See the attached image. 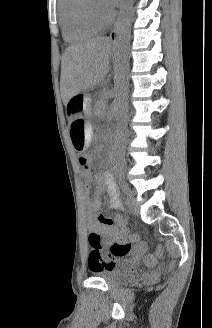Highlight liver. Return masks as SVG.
Listing matches in <instances>:
<instances>
[{
  "label": "liver",
  "instance_id": "1",
  "mask_svg": "<svg viewBox=\"0 0 212 328\" xmlns=\"http://www.w3.org/2000/svg\"><path fill=\"white\" fill-rule=\"evenodd\" d=\"M111 41L97 37L85 43L70 46L62 56L61 95L69 99L97 84L109 71Z\"/></svg>",
  "mask_w": 212,
  "mask_h": 328
}]
</instances>
